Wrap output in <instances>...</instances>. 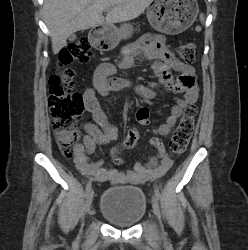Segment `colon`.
I'll use <instances>...</instances> for the list:
<instances>
[{"label":"colon","mask_w":248,"mask_h":250,"mask_svg":"<svg viewBox=\"0 0 248 250\" xmlns=\"http://www.w3.org/2000/svg\"><path fill=\"white\" fill-rule=\"evenodd\" d=\"M180 57L186 63H193L196 59V46L192 42L178 44ZM92 58L91 45L86 37L70 43L59 54L58 67L49 78V108L53 120V129L57 138L61 153L67 159H72L77 153L78 130L76 123L85 111V104L80 93L73 91L71 81L73 71L68 68L74 62L87 63ZM197 109L194 105H188L178 123L171 141L170 151L181 154L187 148L194 132ZM135 141L138 139L136 131H132ZM135 141L127 137L112 150L113 160L121 163L117 156L123 148L133 146Z\"/></svg>","instance_id":"1"}]
</instances>
